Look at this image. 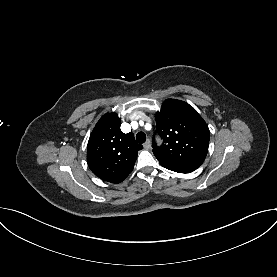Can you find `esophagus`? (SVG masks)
Returning <instances> with one entry per match:
<instances>
[{
    "instance_id": "1",
    "label": "esophagus",
    "mask_w": 277,
    "mask_h": 277,
    "mask_svg": "<svg viewBox=\"0 0 277 277\" xmlns=\"http://www.w3.org/2000/svg\"><path fill=\"white\" fill-rule=\"evenodd\" d=\"M150 146H151L150 140H147V141L143 144V147H144L145 149H149Z\"/></svg>"
}]
</instances>
